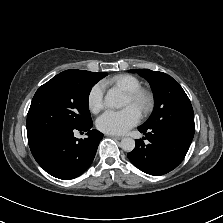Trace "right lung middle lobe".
<instances>
[{
    "instance_id": "obj_1",
    "label": "right lung middle lobe",
    "mask_w": 223,
    "mask_h": 223,
    "mask_svg": "<svg viewBox=\"0 0 223 223\" xmlns=\"http://www.w3.org/2000/svg\"><path fill=\"white\" fill-rule=\"evenodd\" d=\"M104 76L89 71H64L36 91L27 115V134L92 122L88 109L91 88Z\"/></svg>"
}]
</instances>
